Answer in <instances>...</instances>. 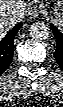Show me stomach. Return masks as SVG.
Here are the masks:
<instances>
[{"label":"stomach","instance_id":"obj_1","mask_svg":"<svg viewBox=\"0 0 63 107\" xmlns=\"http://www.w3.org/2000/svg\"><path fill=\"white\" fill-rule=\"evenodd\" d=\"M55 21L59 26H63V3L61 1L57 2L55 8Z\"/></svg>","mask_w":63,"mask_h":107}]
</instances>
